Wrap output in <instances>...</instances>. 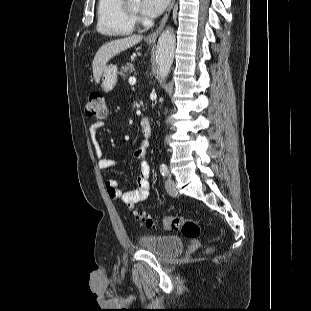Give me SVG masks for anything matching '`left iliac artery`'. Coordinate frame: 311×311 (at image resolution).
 I'll use <instances>...</instances> for the list:
<instances>
[{
    "label": "left iliac artery",
    "instance_id": "44dca946",
    "mask_svg": "<svg viewBox=\"0 0 311 311\" xmlns=\"http://www.w3.org/2000/svg\"><path fill=\"white\" fill-rule=\"evenodd\" d=\"M160 172H161V174H162L164 177L168 176L169 171H168V168H167V166H166L165 164H161V165H160Z\"/></svg>",
    "mask_w": 311,
    "mask_h": 311
}]
</instances>
